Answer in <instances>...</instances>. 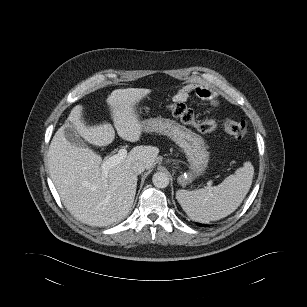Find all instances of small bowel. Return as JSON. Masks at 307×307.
<instances>
[{"label": "small bowel", "instance_id": "1", "mask_svg": "<svg viewBox=\"0 0 307 307\" xmlns=\"http://www.w3.org/2000/svg\"><path fill=\"white\" fill-rule=\"evenodd\" d=\"M191 94H195L207 100L212 106H217L219 104L217 94L214 90L203 84H188L180 88L174 98L176 102L185 103Z\"/></svg>", "mask_w": 307, "mask_h": 307}]
</instances>
